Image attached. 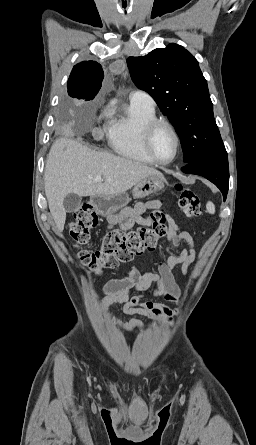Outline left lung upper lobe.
Segmentation results:
<instances>
[{
	"instance_id": "1",
	"label": "left lung upper lobe",
	"mask_w": 256,
	"mask_h": 445,
	"mask_svg": "<svg viewBox=\"0 0 256 445\" xmlns=\"http://www.w3.org/2000/svg\"><path fill=\"white\" fill-rule=\"evenodd\" d=\"M127 65L136 86L153 97L175 126L185 163L227 153L213 117L206 79L190 52L171 43L148 55L129 57Z\"/></svg>"
}]
</instances>
